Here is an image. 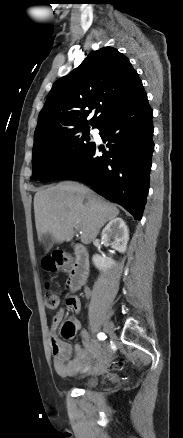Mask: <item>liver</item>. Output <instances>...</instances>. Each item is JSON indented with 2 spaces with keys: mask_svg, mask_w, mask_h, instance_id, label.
<instances>
[{
  "mask_svg": "<svg viewBox=\"0 0 183 438\" xmlns=\"http://www.w3.org/2000/svg\"><path fill=\"white\" fill-rule=\"evenodd\" d=\"M35 223L38 236L50 234L57 243L69 242L74 228L80 230L81 242L89 244L106 222L119 214L117 207L77 182H61L36 192Z\"/></svg>",
  "mask_w": 183,
  "mask_h": 438,
  "instance_id": "1",
  "label": "liver"
}]
</instances>
